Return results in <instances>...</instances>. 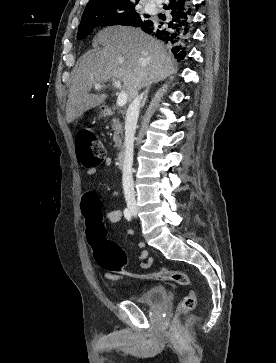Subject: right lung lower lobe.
<instances>
[{
	"mask_svg": "<svg viewBox=\"0 0 276 363\" xmlns=\"http://www.w3.org/2000/svg\"><path fill=\"white\" fill-rule=\"evenodd\" d=\"M164 7L171 11L166 22L153 23L146 21L141 29L162 40L171 49L175 57L182 60L186 55L192 30L191 0H169V4Z\"/></svg>",
	"mask_w": 276,
	"mask_h": 363,
	"instance_id": "obj_1",
	"label": "right lung lower lobe"
}]
</instances>
